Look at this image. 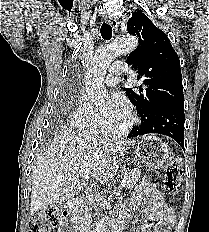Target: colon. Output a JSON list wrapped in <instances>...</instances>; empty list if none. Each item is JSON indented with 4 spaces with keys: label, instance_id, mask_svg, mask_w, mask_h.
<instances>
[{
    "label": "colon",
    "instance_id": "5ec220e1",
    "mask_svg": "<svg viewBox=\"0 0 209 232\" xmlns=\"http://www.w3.org/2000/svg\"><path fill=\"white\" fill-rule=\"evenodd\" d=\"M182 183V166L178 159H172L166 166L163 187L165 192L176 195ZM60 219V209L49 207L35 212L30 220V232H52Z\"/></svg>",
    "mask_w": 209,
    "mask_h": 232
}]
</instances>
